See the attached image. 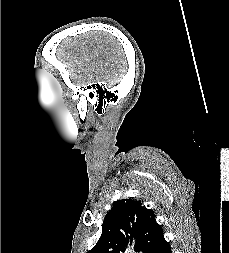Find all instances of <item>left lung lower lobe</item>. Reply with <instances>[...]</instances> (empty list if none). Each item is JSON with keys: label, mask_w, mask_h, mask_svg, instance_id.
<instances>
[{"label": "left lung lower lobe", "mask_w": 229, "mask_h": 253, "mask_svg": "<svg viewBox=\"0 0 229 253\" xmlns=\"http://www.w3.org/2000/svg\"><path fill=\"white\" fill-rule=\"evenodd\" d=\"M153 253H172L170 244L163 238L156 246Z\"/></svg>", "instance_id": "left-lung-lower-lobe-1"}]
</instances>
